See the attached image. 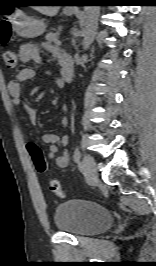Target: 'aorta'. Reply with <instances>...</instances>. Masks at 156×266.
<instances>
[{
	"mask_svg": "<svg viewBox=\"0 0 156 266\" xmlns=\"http://www.w3.org/2000/svg\"><path fill=\"white\" fill-rule=\"evenodd\" d=\"M85 21L83 27V48L86 50L92 44L97 28L98 18L100 15L99 6H86L85 9Z\"/></svg>",
	"mask_w": 156,
	"mask_h": 266,
	"instance_id": "762f6f07",
	"label": "aorta"
}]
</instances>
